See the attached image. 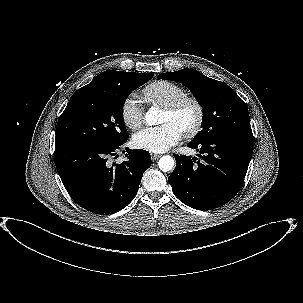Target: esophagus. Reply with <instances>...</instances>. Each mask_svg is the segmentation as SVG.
<instances>
[{"instance_id":"esophagus-1","label":"esophagus","mask_w":303,"mask_h":303,"mask_svg":"<svg viewBox=\"0 0 303 303\" xmlns=\"http://www.w3.org/2000/svg\"><path fill=\"white\" fill-rule=\"evenodd\" d=\"M152 160L155 161L157 160L159 157H161L160 154H151Z\"/></svg>"}]
</instances>
